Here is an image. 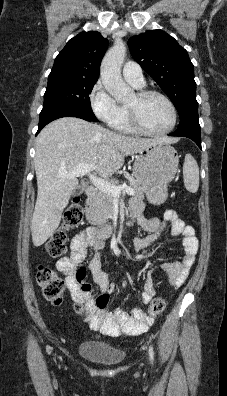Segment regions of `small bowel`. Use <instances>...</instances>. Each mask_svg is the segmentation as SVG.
<instances>
[{
    "instance_id": "small-bowel-1",
    "label": "small bowel",
    "mask_w": 227,
    "mask_h": 396,
    "mask_svg": "<svg viewBox=\"0 0 227 396\" xmlns=\"http://www.w3.org/2000/svg\"><path fill=\"white\" fill-rule=\"evenodd\" d=\"M133 218L139 226L146 232H154L152 235L138 237L134 240V249L137 252L143 251L159 241L162 232L167 224H170L171 231L176 236H182L184 246V257L180 262L167 263L162 267L170 285L175 288L180 287L194 264L198 251V239L192 226L186 225L182 218L174 211L167 210L164 213L163 221L156 217H146L143 215V204L140 200L134 199L130 202ZM93 229H86L74 236L71 242V254L61 258L56 263V268L65 275L67 288L72 300L76 304H82L88 308H94L93 293L91 284L86 281L87 268L82 266L87 256V249L93 246L97 255L91 259L88 269L93 275L94 282L103 293L96 300L99 309L93 310L86 319L92 331L111 336H136L146 332L153 323L155 316L140 309H133L130 313L122 309L110 312L104 308L108 297L117 286L109 281L107 274L101 267V252L103 243H96L92 239ZM162 253L158 252L157 257ZM155 296L154 274L148 273L143 284L141 302L144 305L151 303Z\"/></svg>"
}]
</instances>
